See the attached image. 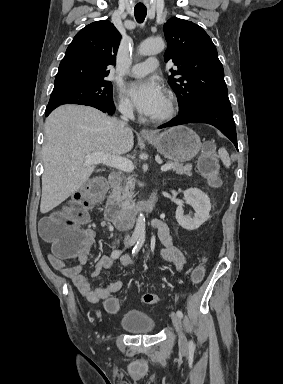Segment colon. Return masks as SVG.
Listing matches in <instances>:
<instances>
[{
  "label": "colon",
  "instance_id": "1",
  "mask_svg": "<svg viewBox=\"0 0 283 384\" xmlns=\"http://www.w3.org/2000/svg\"><path fill=\"white\" fill-rule=\"evenodd\" d=\"M200 173L208 179L212 186H218L219 166L214 153L213 144H206L197 161ZM106 193V183L102 178H92L78 191L72 204L64 212L44 218L39 227L42 237L53 244V251L60 258L78 257L88 250L92 235L85 229L88 223V211L100 204ZM204 264L197 266L192 272V281L200 283L204 277ZM147 304L158 302L159 297L153 293H145L142 297ZM107 312L119 310L120 302L116 297H109L104 302Z\"/></svg>",
  "mask_w": 283,
  "mask_h": 384
}]
</instances>
